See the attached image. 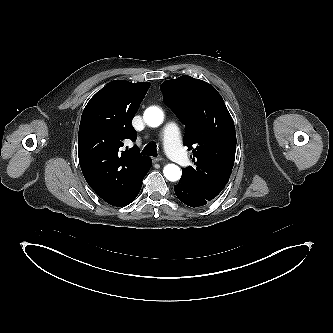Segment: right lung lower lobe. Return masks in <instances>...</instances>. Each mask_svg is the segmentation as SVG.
Listing matches in <instances>:
<instances>
[{"mask_svg":"<svg viewBox=\"0 0 333 333\" xmlns=\"http://www.w3.org/2000/svg\"><path fill=\"white\" fill-rule=\"evenodd\" d=\"M141 186H142V184L140 185V187H139V190H138V192L136 193V195L134 196V198L132 199V201L136 198V196L138 195V193H139V191H140V189H141ZM131 201V202H132Z\"/></svg>","mask_w":333,"mask_h":333,"instance_id":"obj_1","label":"right lung lower lobe"}]
</instances>
